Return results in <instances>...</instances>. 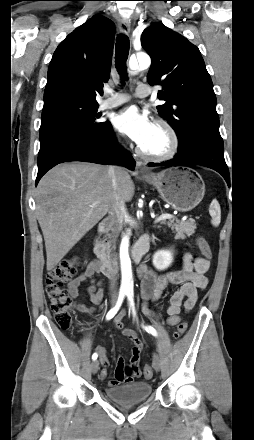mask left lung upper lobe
<instances>
[{"mask_svg":"<svg viewBox=\"0 0 254 440\" xmlns=\"http://www.w3.org/2000/svg\"><path fill=\"white\" fill-rule=\"evenodd\" d=\"M141 44L152 59L147 81L162 86L158 98L166 101L158 112L175 130L178 147L198 131L219 133L213 83L199 49L161 23L143 31Z\"/></svg>","mask_w":254,"mask_h":440,"instance_id":"left-lung-upper-lobe-1","label":"left lung upper lobe"}]
</instances>
